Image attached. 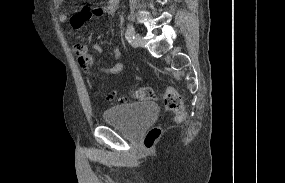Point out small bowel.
<instances>
[{"instance_id": "small-bowel-1", "label": "small bowel", "mask_w": 285, "mask_h": 183, "mask_svg": "<svg viewBox=\"0 0 285 183\" xmlns=\"http://www.w3.org/2000/svg\"><path fill=\"white\" fill-rule=\"evenodd\" d=\"M59 4H63L65 0H57ZM119 0H108V4L104 7L95 8L92 11L88 9H83L80 12L74 14L70 18L71 25L75 29L81 28L88 20H90L92 17L99 16L101 14H108L110 16H113L116 12V9L118 7ZM59 20L61 22H66L69 20V14L67 12H61L59 14ZM93 48L97 52L102 51V47L99 44H94ZM73 53L77 57L80 65L85 69H90L94 67V58L90 54L88 46L84 43H77L73 47ZM112 54L114 58V63L111 66L108 67H101L99 69V74L101 76H110L120 73L123 68L124 64L119 61L120 58V52L116 47H112Z\"/></svg>"}]
</instances>
